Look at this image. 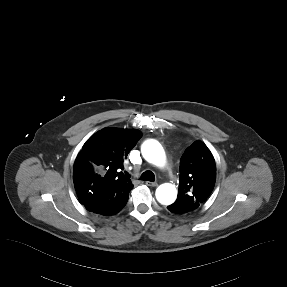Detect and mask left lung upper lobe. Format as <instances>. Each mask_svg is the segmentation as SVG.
I'll use <instances>...</instances> for the list:
<instances>
[{
  "label": "left lung upper lobe",
  "mask_w": 287,
  "mask_h": 287,
  "mask_svg": "<svg viewBox=\"0 0 287 287\" xmlns=\"http://www.w3.org/2000/svg\"><path fill=\"white\" fill-rule=\"evenodd\" d=\"M215 180L212 153L203 142L195 141L181 157L179 193L174 204L185 213L197 209L212 192Z\"/></svg>",
  "instance_id": "1"
}]
</instances>
